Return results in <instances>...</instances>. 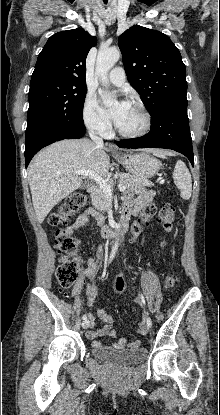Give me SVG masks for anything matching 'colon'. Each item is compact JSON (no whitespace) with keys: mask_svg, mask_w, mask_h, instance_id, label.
Listing matches in <instances>:
<instances>
[{"mask_svg":"<svg viewBox=\"0 0 220 415\" xmlns=\"http://www.w3.org/2000/svg\"><path fill=\"white\" fill-rule=\"evenodd\" d=\"M87 203V195L84 192H76L70 195L61 206L48 216V224L55 231V247L59 255V265L56 270V278L61 288L71 287L78 279L81 260L79 251L81 243L79 239L68 231L71 219L79 213ZM156 209L153 205H147L143 209L145 217H153ZM175 210L172 205L164 204L158 213V219L165 230H170L175 222ZM177 282L174 273L164 277L165 289H171ZM117 293V292H116Z\"/></svg>","mask_w":220,"mask_h":415,"instance_id":"colon-1","label":"colon"}]
</instances>
